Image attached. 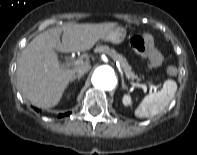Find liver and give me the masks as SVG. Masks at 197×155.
Returning a JSON list of instances; mask_svg holds the SVG:
<instances>
[{
	"label": "liver",
	"mask_w": 197,
	"mask_h": 155,
	"mask_svg": "<svg viewBox=\"0 0 197 155\" xmlns=\"http://www.w3.org/2000/svg\"><path fill=\"white\" fill-rule=\"evenodd\" d=\"M116 23L73 24L51 28L37 35L22 51L17 65V84L22 96L32 105L48 109L61 100L68 83L86 62L64 68L55 50H90ZM62 34V42L60 36Z\"/></svg>",
	"instance_id": "liver-1"
}]
</instances>
